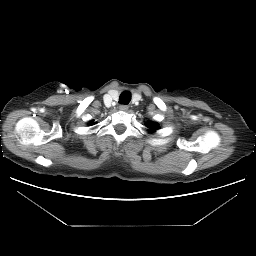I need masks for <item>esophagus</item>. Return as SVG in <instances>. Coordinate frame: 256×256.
Wrapping results in <instances>:
<instances>
[{"label": "esophagus", "mask_w": 256, "mask_h": 256, "mask_svg": "<svg viewBox=\"0 0 256 256\" xmlns=\"http://www.w3.org/2000/svg\"><path fill=\"white\" fill-rule=\"evenodd\" d=\"M128 108H129L128 105H120V106H119V109H120L121 111H127Z\"/></svg>", "instance_id": "1"}]
</instances>
